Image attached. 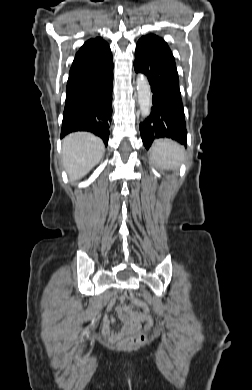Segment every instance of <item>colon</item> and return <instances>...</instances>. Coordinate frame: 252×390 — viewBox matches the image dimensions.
Listing matches in <instances>:
<instances>
[{"instance_id": "1", "label": "colon", "mask_w": 252, "mask_h": 390, "mask_svg": "<svg viewBox=\"0 0 252 390\" xmlns=\"http://www.w3.org/2000/svg\"><path fill=\"white\" fill-rule=\"evenodd\" d=\"M125 297L128 300H132L134 298L133 293L130 290H127L125 292ZM151 325H152V321L148 320L147 321V328H150ZM145 339H146V333L142 330H139V331L135 332L133 335H131L130 337L124 339L120 343V347L124 348V349H132V348L139 346L141 343H143Z\"/></svg>"}]
</instances>
